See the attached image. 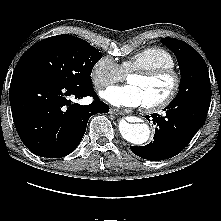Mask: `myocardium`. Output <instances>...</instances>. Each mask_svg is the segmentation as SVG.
Here are the masks:
<instances>
[{
    "instance_id": "f54148a6",
    "label": "myocardium",
    "mask_w": 221,
    "mask_h": 221,
    "mask_svg": "<svg viewBox=\"0 0 221 221\" xmlns=\"http://www.w3.org/2000/svg\"><path fill=\"white\" fill-rule=\"evenodd\" d=\"M133 75L144 78L170 76L173 80L172 88L165 98L152 104L143 105V108L148 112H157L167 108L172 104V102L176 99L177 95L179 94L181 88V76L175 68L158 67L153 69H137L129 72V74L127 75V79Z\"/></svg>"
}]
</instances>
